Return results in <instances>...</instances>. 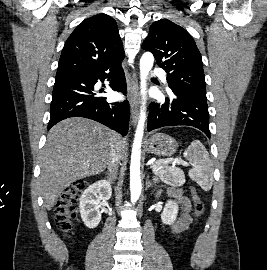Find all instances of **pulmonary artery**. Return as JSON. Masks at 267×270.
Here are the masks:
<instances>
[{"label": "pulmonary artery", "instance_id": "obj_1", "mask_svg": "<svg viewBox=\"0 0 267 270\" xmlns=\"http://www.w3.org/2000/svg\"><path fill=\"white\" fill-rule=\"evenodd\" d=\"M155 73L161 76L163 82H166V74L161 69H156Z\"/></svg>", "mask_w": 267, "mask_h": 270}]
</instances>
